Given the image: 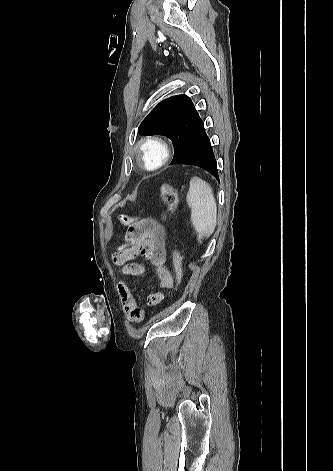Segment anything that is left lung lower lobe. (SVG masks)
I'll return each instance as SVG.
<instances>
[{
  "label": "left lung lower lobe",
  "instance_id": "obj_1",
  "mask_svg": "<svg viewBox=\"0 0 333 471\" xmlns=\"http://www.w3.org/2000/svg\"><path fill=\"white\" fill-rule=\"evenodd\" d=\"M170 164H189L199 166L219 180L216 159L203 122L188 144L173 157Z\"/></svg>",
  "mask_w": 333,
  "mask_h": 471
}]
</instances>
